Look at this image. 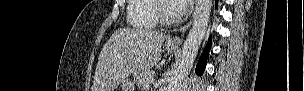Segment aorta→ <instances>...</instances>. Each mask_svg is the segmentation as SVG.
Instances as JSON below:
<instances>
[{
    "label": "aorta",
    "mask_w": 304,
    "mask_h": 91,
    "mask_svg": "<svg viewBox=\"0 0 304 91\" xmlns=\"http://www.w3.org/2000/svg\"><path fill=\"white\" fill-rule=\"evenodd\" d=\"M212 0H197L192 28L185 40L177 70L168 84V91H178L190 72L210 19Z\"/></svg>",
    "instance_id": "762f6f07"
}]
</instances>
